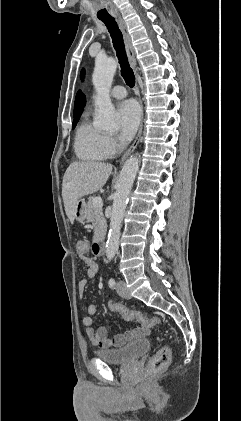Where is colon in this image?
Instances as JSON below:
<instances>
[{
    "instance_id": "colon-1",
    "label": "colon",
    "mask_w": 241,
    "mask_h": 421,
    "mask_svg": "<svg viewBox=\"0 0 241 421\" xmlns=\"http://www.w3.org/2000/svg\"><path fill=\"white\" fill-rule=\"evenodd\" d=\"M90 244L86 240H79L76 243V251L78 255H87L90 252ZM109 310L120 314L123 319L127 321H137L140 324L147 325L149 327L157 326L161 324V320L157 316L147 317L139 311H134L128 309L124 305L115 302L113 300L109 301L108 304ZM171 358V350L168 346H162L157 353L152 356L148 364L149 374H157L164 370L168 365Z\"/></svg>"
}]
</instances>
